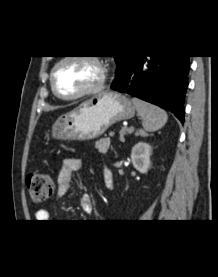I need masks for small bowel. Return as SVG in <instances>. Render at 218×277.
Returning <instances> with one entry per match:
<instances>
[{
	"instance_id": "small-bowel-1",
	"label": "small bowel",
	"mask_w": 218,
	"mask_h": 277,
	"mask_svg": "<svg viewBox=\"0 0 218 277\" xmlns=\"http://www.w3.org/2000/svg\"><path fill=\"white\" fill-rule=\"evenodd\" d=\"M82 167V160L76 157L65 158L62 162L61 169L57 177L56 197L58 199L64 197L71 186L73 174ZM106 182L111 183V175L106 172L104 175ZM81 207L84 211L92 210V199L89 194H83L81 197ZM37 222H46L50 214L47 209L40 208L35 213Z\"/></svg>"
}]
</instances>
